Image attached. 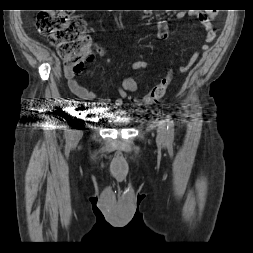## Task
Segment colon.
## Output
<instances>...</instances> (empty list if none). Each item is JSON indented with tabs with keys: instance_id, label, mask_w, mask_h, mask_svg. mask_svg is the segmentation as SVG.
<instances>
[{
	"instance_id": "obj_1",
	"label": "colon",
	"mask_w": 253,
	"mask_h": 253,
	"mask_svg": "<svg viewBox=\"0 0 253 253\" xmlns=\"http://www.w3.org/2000/svg\"><path fill=\"white\" fill-rule=\"evenodd\" d=\"M37 26L40 33L49 37L57 46L58 54L64 59L65 66L74 74L81 73L85 62L93 56L91 40L85 33L84 21L63 11L42 12L38 15ZM171 80L172 73H168L135 101L143 105L158 101L165 95Z\"/></svg>"
}]
</instances>
